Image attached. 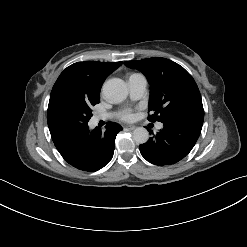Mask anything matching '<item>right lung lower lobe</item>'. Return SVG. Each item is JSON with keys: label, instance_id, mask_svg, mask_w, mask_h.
<instances>
[{"label": "right lung lower lobe", "instance_id": "right-lung-lower-lobe-1", "mask_svg": "<svg viewBox=\"0 0 247 247\" xmlns=\"http://www.w3.org/2000/svg\"><path fill=\"white\" fill-rule=\"evenodd\" d=\"M122 127L108 122L106 130L88 126L80 131L65 134L53 139L54 145L71 166L88 172L103 168L113 157L116 135Z\"/></svg>", "mask_w": 247, "mask_h": 247}]
</instances>
